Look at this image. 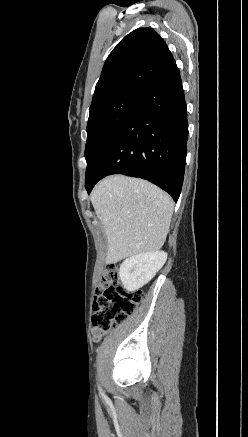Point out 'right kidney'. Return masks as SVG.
Instances as JSON below:
<instances>
[{"mask_svg": "<svg viewBox=\"0 0 248 437\" xmlns=\"http://www.w3.org/2000/svg\"><path fill=\"white\" fill-rule=\"evenodd\" d=\"M166 260L167 253L164 251L142 253L127 258L119 269L124 288L136 291L143 287L162 268Z\"/></svg>", "mask_w": 248, "mask_h": 437, "instance_id": "ca27d5eb", "label": "right kidney"}]
</instances>
